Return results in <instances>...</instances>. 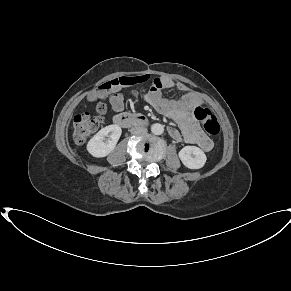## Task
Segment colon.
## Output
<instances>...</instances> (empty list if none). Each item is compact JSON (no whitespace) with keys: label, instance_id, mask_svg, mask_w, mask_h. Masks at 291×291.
Wrapping results in <instances>:
<instances>
[{"label":"colon","instance_id":"5ec220e1","mask_svg":"<svg viewBox=\"0 0 291 291\" xmlns=\"http://www.w3.org/2000/svg\"><path fill=\"white\" fill-rule=\"evenodd\" d=\"M144 77H119L101 84L97 88V93L105 99L113 89L130 87L146 82ZM98 116H91L88 112L79 113L73 118L74 139L82 143L94 134L101 126V117L105 112V106L100 104L97 108ZM195 118L202 124L204 130L210 136L216 137L220 132L217 118L212 112L203 106H197L194 110Z\"/></svg>","mask_w":291,"mask_h":291}]
</instances>
